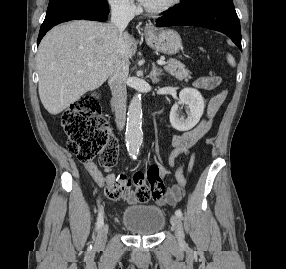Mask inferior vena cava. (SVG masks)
<instances>
[{"label": "inferior vena cava", "instance_id": "1", "mask_svg": "<svg viewBox=\"0 0 286 269\" xmlns=\"http://www.w3.org/2000/svg\"><path fill=\"white\" fill-rule=\"evenodd\" d=\"M134 18V9L127 2H119L111 6V23L118 34L119 57L115 64L109 84L112 91V102L115 111L117 128L123 130L126 120V78L129 73V60L126 57V43L123 31Z\"/></svg>", "mask_w": 286, "mask_h": 269}]
</instances>
